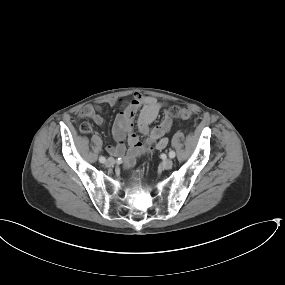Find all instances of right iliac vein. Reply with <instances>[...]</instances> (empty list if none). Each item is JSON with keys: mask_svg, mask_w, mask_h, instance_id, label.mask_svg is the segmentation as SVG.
<instances>
[{"mask_svg": "<svg viewBox=\"0 0 285 285\" xmlns=\"http://www.w3.org/2000/svg\"><path fill=\"white\" fill-rule=\"evenodd\" d=\"M115 164V160L113 159V158H108L107 160H106V165L107 166H112V165H114Z\"/></svg>", "mask_w": 285, "mask_h": 285, "instance_id": "obj_1", "label": "right iliac vein"}]
</instances>
